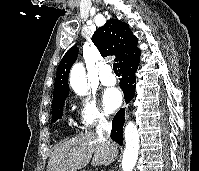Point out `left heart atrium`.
<instances>
[{
    "label": "left heart atrium",
    "instance_id": "obj_1",
    "mask_svg": "<svg viewBox=\"0 0 199 171\" xmlns=\"http://www.w3.org/2000/svg\"><path fill=\"white\" fill-rule=\"evenodd\" d=\"M122 94L116 88L107 89L102 96V103L107 112H113L122 104Z\"/></svg>",
    "mask_w": 199,
    "mask_h": 171
}]
</instances>
